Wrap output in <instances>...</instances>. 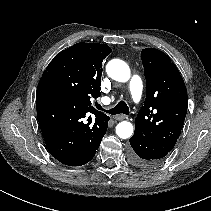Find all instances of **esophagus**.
<instances>
[{"label": "esophagus", "instance_id": "esophagus-1", "mask_svg": "<svg viewBox=\"0 0 211 211\" xmlns=\"http://www.w3.org/2000/svg\"><path fill=\"white\" fill-rule=\"evenodd\" d=\"M127 116L126 115H124V114H119V115H116L114 118L116 119V120H123V119H125Z\"/></svg>", "mask_w": 211, "mask_h": 211}]
</instances>
